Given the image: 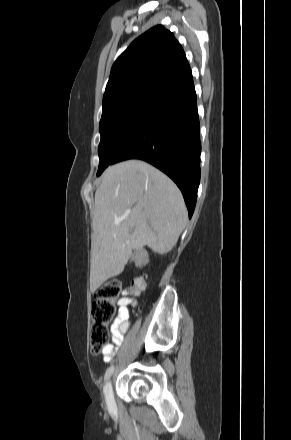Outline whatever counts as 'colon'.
<instances>
[{
  "label": "colon",
  "instance_id": "1",
  "mask_svg": "<svg viewBox=\"0 0 291 440\" xmlns=\"http://www.w3.org/2000/svg\"><path fill=\"white\" fill-rule=\"evenodd\" d=\"M143 289V281L134 278L129 288H122L118 280H110L95 291L89 331L90 349L93 354L103 353L110 344L108 324L115 314V300L120 296L127 297L130 293L137 295Z\"/></svg>",
  "mask_w": 291,
  "mask_h": 440
}]
</instances>
